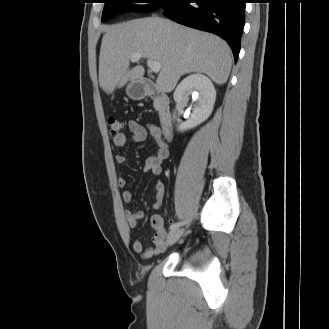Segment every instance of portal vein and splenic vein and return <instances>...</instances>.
<instances>
[{
    "label": "portal vein and splenic vein",
    "mask_w": 329,
    "mask_h": 329,
    "mask_svg": "<svg viewBox=\"0 0 329 329\" xmlns=\"http://www.w3.org/2000/svg\"><path fill=\"white\" fill-rule=\"evenodd\" d=\"M142 58L140 53H135L131 56V62H138ZM147 65L153 73H158L161 69V64L158 61L148 60Z\"/></svg>",
    "instance_id": "portal-vein-and-splenic-vein-1"
}]
</instances>
